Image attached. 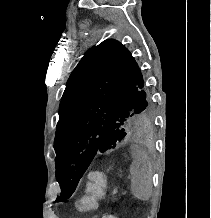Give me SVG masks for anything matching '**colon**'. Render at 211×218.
<instances>
[{"label":"colon","instance_id":"obj_1","mask_svg":"<svg viewBox=\"0 0 211 218\" xmlns=\"http://www.w3.org/2000/svg\"><path fill=\"white\" fill-rule=\"evenodd\" d=\"M106 184V177L102 171H92L89 174V182L86 195L78 202L82 210H90L96 207L102 197ZM102 218H118L114 214H104Z\"/></svg>","mask_w":211,"mask_h":218}]
</instances>
